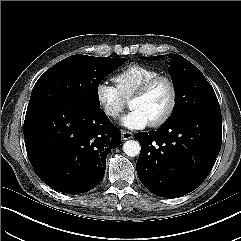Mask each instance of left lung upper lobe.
<instances>
[{"mask_svg":"<svg viewBox=\"0 0 241 241\" xmlns=\"http://www.w3.org/2000/svg\"><path fill=\"white\" fill-rule=\"evenodd\" d=\"M170 56L168 65L175 87L176 104L166 122L191 112H221L215 92L201 71L181 55ZM160 58L161 56L143 57L150 61Z\"/></svg>","mask_w":241,"mask_h":241,"instance_id":"1","label":"left lung upper lobe"}]
</instances>
